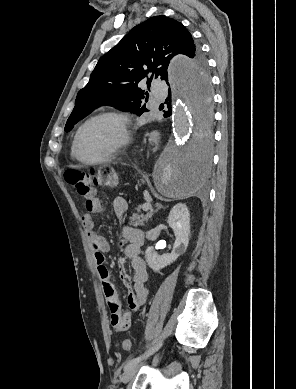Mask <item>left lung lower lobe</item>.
<instances>
[{
  "label": "left lung lower lobe",
  "mask_w": 296,
  "mask_h": 389,
  "mask_svg": "<svg viewBox=\"0 0 296 389\" xmlns=\"http://www.w3.org/2000/svg\"><path fill=\"white\" fill-rule=\"evenodd\" d=\"M169 85V83H167ZM192 91L198 98H208L209 90H204L198 84H192ZM168 106V111H164V117L171 115V90L169 89L168 97L165 101ZM203 141L195 143L191 151L184 158L183 162L177 166L176 175L177 177L187 179L190 173L195 179L205 175L209 162V144L205 133H203Z\"/></svg>",
  "instance_id": "obj_1"
}]
</instances>
